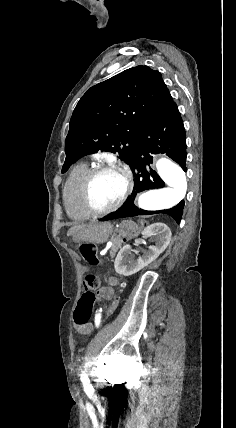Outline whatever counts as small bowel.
Masks as SVG:
<instances>
[{"instance_id":"obj_1","label":"small bowel","mask_w":236,"mask_h":428,"mask_svg":"<svg viewBox=\"0 0 236 428\" xmlns=\"http://www.w3.org/2000/svg\"><path fill=\"white\" fill-rule=\"evenodd\" d=\"M112 284H116L115 281H112ZM99 296L104 300H111L114 296V288L113 287H104L99 291ZM99 312L102 311L101 308L98 310ZM91 331V325H88L84 330L83 333H88Z\"/></svg>"}]
</instances>
